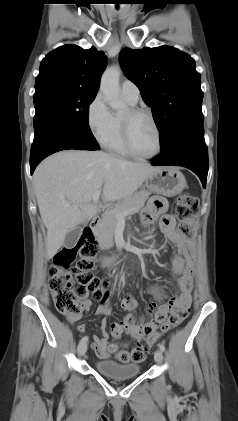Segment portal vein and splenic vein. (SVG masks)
Returning a JSON list of instances; mask_svg holds the SVG:
<instances>
[{"instance_id":"1","label":"portal vein and splenic vein","mask_w":238,"mask_h":421,"mask_svg":"<svg viewBox=\"0 0 238 421\" xmlns=\"http://www.w3.org/2000/svg\"><path fill=\"white\" fill-rule=\"evenodd\" d=\"M100 194H101V191H100V190L96 191V192L93 194L92 199H93V201H94V202H97V201L99 200V198H100ZM66 206H67V207H69V206H70V204H66ZM132 213H134V211H133V210H126V211H124V212H122V213H118V214H117V217H118V219L120 220V219H123L125 216H127V215H129V214H132Z\"/></svg>"}]
</instances>
